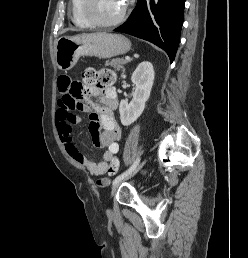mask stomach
<instances>
[{
  "mask_svg": "<svg viewBox=\"0 0 248 258\" xmlns=\"http://www.w3.org/2000/svg\"><path fill=\"white\" fill-rule=\"evenodd\" d=\"M130 41L119 34L92 33L75 37L63 36L55 42V60L62 71L72 69L81 56L110 58L127 53Z\"/></svg>",
  "mask_w": 248,
  "mask_h": 258,
  "instance_id": "stomach-1",
  "label": "stomach"
}]
</instances>
